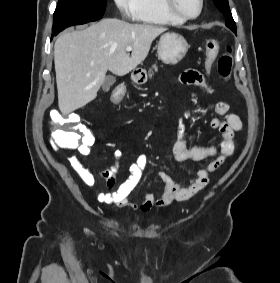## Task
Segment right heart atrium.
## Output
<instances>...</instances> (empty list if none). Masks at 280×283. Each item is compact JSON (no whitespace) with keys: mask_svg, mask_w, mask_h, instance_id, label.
Masks as SVG:
<instances>
[{"mask_svg":"<svg viewBox=\"0 0 280 283\" xmlns=\"http://www.w3.org/2000/svg\"><path fill=\"white\" fill-rule=\"evenodd\" d=\"M117 9L124 17H132L136 10L137 0H114Z\"/></svg>","mask_w":280,"mask_h":283,"instance_id":"obj_1","label":"right heart atrium"}]
</instances>
